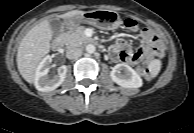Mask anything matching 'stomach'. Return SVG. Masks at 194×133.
I'll return each mask as SVG.
<instances>
[{
  "label": "stomach",
  "mask_w": 194,
  "mask_h": 133,
  "mask_svg": "<svg viewBox=\"0 0 194 133\" xmlns=\"http://www.w3.org/2000/svg\"><path fill=\"white\" fill-rule=\"evenodd\" d=\"M81 23H87L103 30H114L120 26L121 19L115 11L93 10L68 20V24L73 28Z\"/></svg>",
  "instance_id": "obj_1"
}]
</instances>
